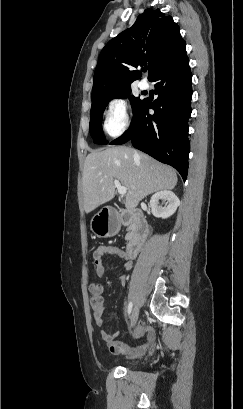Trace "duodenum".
<instances>
[{
    "mask_svg": "<svg viewBox=\"0 0 243 409\" xmlns=\"http://www.w3.org/2000/svg\"><path fill=\"white\" fill-rule=\"evenodd\" d=\"M113 212L117 210L111 209ZM124 223H131L132 229L129 234V242L126 248L128 257H136L148 235L147 220L143 213L138 209H130L122 215Z\"/></svg>",
    "mask_w": 243,
    "mask_h": 409,
    "instance_id": "duodenum-1",
    "label": "duodenum"
}]
</instances>
